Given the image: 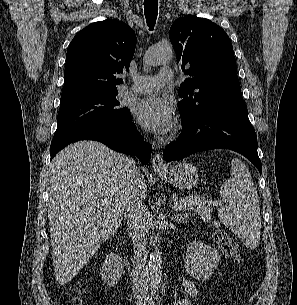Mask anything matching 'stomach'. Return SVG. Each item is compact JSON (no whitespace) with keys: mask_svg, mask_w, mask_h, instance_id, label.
<instances>
[{"mask_svg":"<svg viewBox=\"0 0 297 305\" xmlns=\"http://www.w3.org/2000/svg\"><path fill=\"white\" fill-rule=\"evenodd\" d=\"M157 174L163 180L179 189H191L197 185L199 180L196 167L186 162L157 171Z\"/></svg>","mask_w":297,"mask_h":305,"instance_id":"0dacf381","label":"stomach"}]
</instances>
